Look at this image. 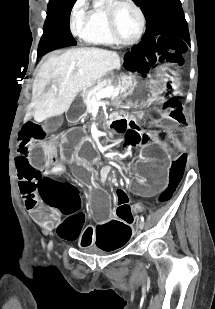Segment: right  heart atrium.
<instances>
[{"mask_svg":"<svg viewBox=\"0 0 215 309\" xmlns=\"http://www.w3.org/2000/svg\"><path fill=\"white\" fill-rule=\"evenodd\" d=\"M78 5H81V0H78ZM81 21V15L76 10H73L71 13V23L73 26H76Z\"/></svg>","mask_w":215,"mask_h":309,"instance_id":"1","label":"right heart atrium"}]
</instances>
